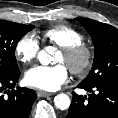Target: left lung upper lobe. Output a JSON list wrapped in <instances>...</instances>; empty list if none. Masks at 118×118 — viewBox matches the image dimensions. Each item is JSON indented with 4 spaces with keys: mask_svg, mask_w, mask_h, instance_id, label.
<instances>
[{
    "mask_svg": "<svg viewBox=\"0 0 118 118\" xmlns=\"http://www.w3.org/2000/svg\"><path fill=\"white\" fill-rule=\"evenodd\" d=\"M90 34L95 55L91 73L81 82L94 86L102 82L118 80V30L88 18H76Z\"/></svg>",
    "mask_w": 118,
    "mask_h": 118,
    "instance_id": "obj_1",
    "label": "left lung upper lobe"
}]
</instances>
